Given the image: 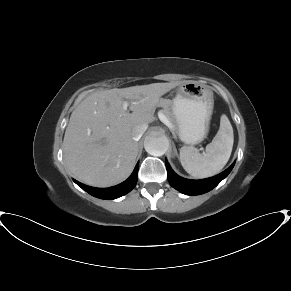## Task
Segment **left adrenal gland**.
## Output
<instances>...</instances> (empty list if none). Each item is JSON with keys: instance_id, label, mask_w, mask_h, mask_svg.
Instances as JSON below:
<instances>
[{"instance_id": "obj_1", "label": "left adrenal gland", "mask_w": 291, "mask_h": 291, "mask_svg": "<svg viewBox=\"0 0 291 291\" xmlns=\"http://www.w3.org/2000/svg\"><path fill=\"white\" fill-rule=\"evenodd\" d=\"M174 154H175L176 156H178V153H177L176 147H174Z\"/></svg>"}]
</instances>
